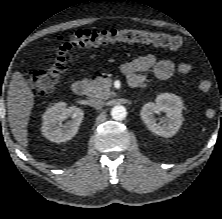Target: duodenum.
Listing matches in <instances>:
<instances>
[{"label": "duodenum", "instance_id": "duodenum-1", "mask_svg": "<svg viewBox=\"0 0 222 219\" xmlns=\"http://www.w3.org/2000/svg\"><path fill=\"white\" fill-rule=\"evenodd\" d=\"M136 87V86H133ZM87 91V84L82 80H77L72 84V92L75 95L83 96Z\"/></svg>", "mask_w": 222, "mask_h": 219}]
</instances>
